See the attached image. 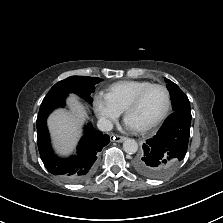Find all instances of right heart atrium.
<instances>
[{
    "mask_svg": "<svg viewBox=\"0 0 223 223\" xmlns=\"http://www.w3.org/2000/svg\"><path fill=\"white\" fill-rule=\"evenodd\" d=\"M93 105L97 117L106 126L114 122L122 112L105 94L101 93L95 96Z\"/></svg>",
    "mask_w": 223,
    "mask_h": 223,
    "instance_id": "1",
    "label": "right heart atrium"
}]
</instances>
